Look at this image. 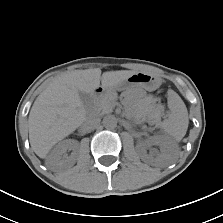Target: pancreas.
I'll list each match as a JSON object with an SVG mask.
<instances>
[{"mask_svg": "<svg viewBox=\"0 0 223 223\" xmlns=\"http://www.w3.org/2000/svg\"><path fill=\"white\" fill-rule=\"evenodd\" d=\"M116 100L117 93L110 91L96 98L90 108L97 114L110 113L116 105Z\"/></svg>", "mask_w": 223, "mask_h": 223, "instance_id": "1", "label": "pancreas"}]
</instances>
